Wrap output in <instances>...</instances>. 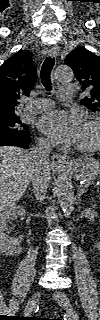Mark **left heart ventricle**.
<instances>
[{
    "label": "left heart ventricle",
    "mask_w": 100,
    "mask_h": 320,
    "mask_svg": "<svg viewBox=\"0 0 100 320\" xmlns=\"http://www.w3.org/2000/svg\"><path fill=\"white\" fill-rule=\"evenodd\" d=\"M93 139H94L93 129L89 125L83 123L81 126L80 137L77 142V146L87 145L91 143Z\"/></svg>",
    "instance_id": "b2bd125f"
}]
</instances>
